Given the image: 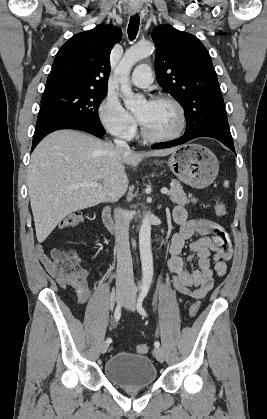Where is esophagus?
Instances as JSON below:
<instances>
[{
	"label": "esophagus",
	"mask_w": 267,
	"mask_h": 419,
	"mask_svg": "<svg viewBox=\"0 0 267 419\" xmlns=\"http://www.w3.org/2000/svg\"><path fill=\"white\" fill-rule=\"evenodd\" d=\"M139 10H140V8H139V7H137V6H132V7H130L129 12H130V14L134 15V14H136L137 12H139Z\"/></svg>",
	"instance_id": "esophagus-1"
}]
</instances>
